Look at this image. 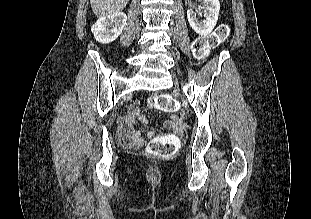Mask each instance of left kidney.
Instances as JSON below:
<instances>
[{
  "instance_id": "1",
  "label": "left kidney",
  "mask_w": 311,
  "mask_h": 219,
  "mask_svg": "<svg viewBox=\"0 0 311 219\" xmlns=\"http://www.w3.org/2000/svg\"><path fill=\"white\" fill-rule=\"evenodd\" d=\"M204 20H199L191 10L187 11V18L192 29L199 35H209L214 29L219 15V0H202Z\"/></svg>"
}]
</instances>
